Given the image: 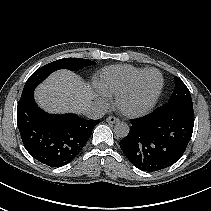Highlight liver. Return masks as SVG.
<instances>
[{
    "label": "liver",
    "instance_id": "liver-1",
    "mask_svg": "<svg viewBox=\"0 0 211 211\" xmlns=\"http://www.w3.org/2000/svg\"><path fill=\"white\" fill-rule=\"evenodd\" d=\"M93 96L91 88L67 70L53 73L35 92L38 105L50 113H82Z\"/></svg>",
    "mask_w": 211,
    "mask_h": 211
}]
</instances>
